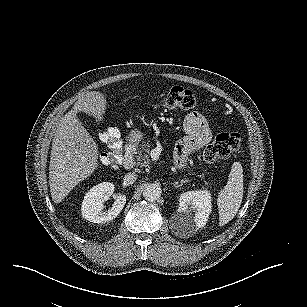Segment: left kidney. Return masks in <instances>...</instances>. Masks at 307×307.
I'll list each match as a JSON object with an SVG mask.
<instances>
[{
	"instance_id": "left-kidney-1",
	"label": "left kidney",
	"mask_w": 307,
	"mask_h": 307,
	"mask_svg": "<svg viewBox=\"0 0 307 307\" xmlns=\"http://www.w3.org/2000/svg\"><path fill=\"white\" fill-rule=\"evenodd\" d=\"M193 210H195L194 215H192ZM212 210L211 191L196 189L182 193L179 197L177 213L172 222L175 231L192 234L208 223Z\"/></svg>"
}]
</instances>
